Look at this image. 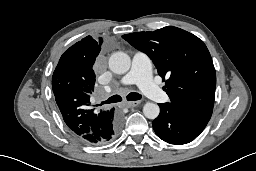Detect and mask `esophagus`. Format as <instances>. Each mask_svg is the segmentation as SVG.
<instances>
[{
    "instance_id": "esophagus-1",
    "label": "esophagus",
    "mask_w": 256,
    "mask_h": 171,
    "mask_svg": "<svg viewBox=\"0 0 256 171\" xmlns=\"http://www.w3.org/2000/svg\"><path fill=\"white\" fill-rule=\"evenodd\" d=\"M140 103H141V101H130V102H125V105L128 108H133V107L138 106Z\"/></svg>"
}]
</instances>
